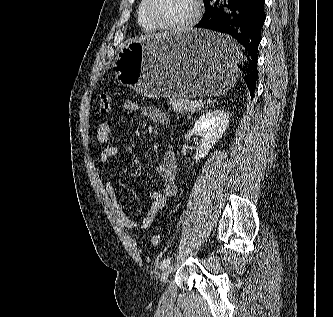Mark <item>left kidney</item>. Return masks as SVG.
<instances>
[{"label":"left kidney","instance_id":"left-kidney-1","mask_svg":"<svg viewBox=\"0 0 333 317\" xmlns=\"http://www.w3.org/2000/svg\"><path fill=\"white\" fill-rule=\"evenodd\" d=\"M229 119V113L216 109L204 113L195 121L193 133L202 137V144L193 156L196 161L207 156L212 146L219 141L228 127Z\"/></svg>","mask_w":333,"mask_h":317}]
</instances>
